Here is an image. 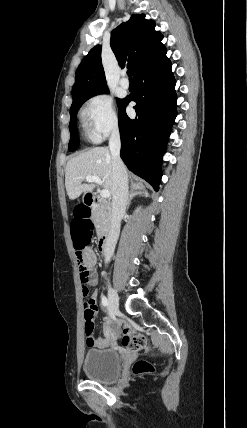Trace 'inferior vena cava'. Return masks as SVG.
I'll return each instance as SVG.
<instances>
[{
  "label": "inferior vena cava",
  "instance_id": "obj_1",
  "mask_svg": "<svg viewBox=\"0 0 247 428\" xmlns=\"http://www.w3.org/2000/svg\"><path fill=\"white\" fill-rule=\"evenodd\" d=\"M109 148L112 156L113 192L111 227L104 245L106 262H109L113 256L120 232L121 219L128 203V178L126 167L120 158L121 140L118 127L114 128L111 133Z\"/></svg>",
  "mask_w": 247,
  "mask_h": 428
}]
</instances>
